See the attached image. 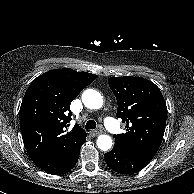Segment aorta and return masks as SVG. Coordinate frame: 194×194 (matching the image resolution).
Instances as JSON below:
<instances>
[{
  "mask_svg": "<svg viewBox=\"0 0 194 194\" xmlns=\"http://www.w3.org/2000/svg\"><path fill=\"white\" fill-rule=\"evenodd\" d=\"M83 104L90 109H99L103 105V97L93 89H87L82 94ZM98 148L102 151H107L112 147V139L108 135H100L96 142Z\"/></svg>",
  "mask_w": 194,
  "mask_h": 194,
  "instance_id": "1",
  "label": "aorta"
}]
</instances>
